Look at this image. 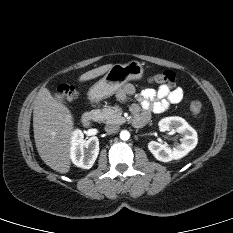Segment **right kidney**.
Wrapping results in <instances>:
<instances>
[{
    "label": "right kidney",
    "instance_id": "ca27d5eb",
    "mask_svg": "<svg viewBox=\"0 0 233 233\" xmlns=\"http://www.w3.org/2000/svg\"><path fill=\"white\" fill-rule=\"evenodd\" d=\"M81 130L73 131L71 136L70 157L72 162L80 168L90 169L99 154V140L91 137L84 140Z\"/></svg>",
    "mask_w": 233,
    "mask_h": 233
}]
</instances>
